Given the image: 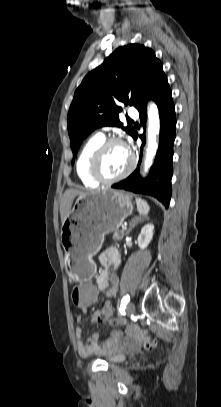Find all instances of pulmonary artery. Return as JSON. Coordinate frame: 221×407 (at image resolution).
I'll return each instance as SVG.
<instances>
[{
	"label": "pulmonary artery",
	"instance_id": "e3ab8cb5",
	"mask_svg": "<svg viewBox=\"0 0 221 407\" xmlns=\"http://www.w3.org/2000/svg\"><path fill=\"white\" fill-rule=\"evenodd\" d=\"M129 116L132 117V118H137L139 116V113H138V111L136 109L131 108L129 110Z\"/></svg>",
	"mask_w": 221,
	"mask_h": 407
}]
</instances>
